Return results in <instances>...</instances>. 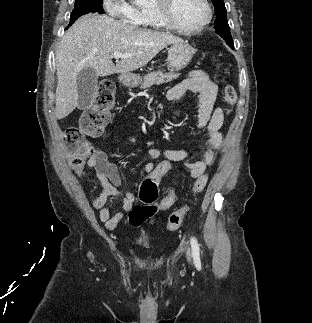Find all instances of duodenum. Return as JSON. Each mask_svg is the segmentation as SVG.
<instances>
[{
	"label": "duodenum",
	"mask_w": 312,
	"mask_h": 323,
	"mask_svg": "<svg viewBox=\"0 0 312 323\" xmlns=\"http://www.w3.org/2000/svg\"><path fill=\"white\" fill-rule=\"evenodd\" d=\"M132 81V78L130 75L128 74H125L121 77V82L124 84V85H127V84H130Z\"/></svg>",
	"instance_id": "obj_1"
}]
</instances>
